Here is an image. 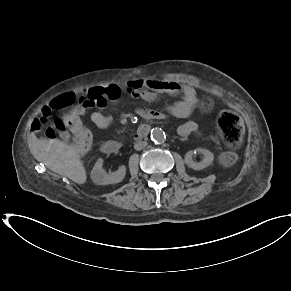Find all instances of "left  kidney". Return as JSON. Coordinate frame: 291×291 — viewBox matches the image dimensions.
<instances>
[{
  "label": "left kidney",
  "instance_id": "left-kidney-1",
  "mask_svg": "<svg viewBox=\"0 0 291 291\" xmlns=\"http://www.w3.org/2000/svg\"><path fill=\"white\" fill-rule=\"evenodd\" d=\"M197 152L202 153L204 155V159L201 162H194L192 156ZM214 155L207 149L199 148L195 151H188L185 155L184 161L186 165L193 170H202L213 162Z\"/></svg>",
  "mask_w": 291,
  "mask_h": 291
}]
</instances>
